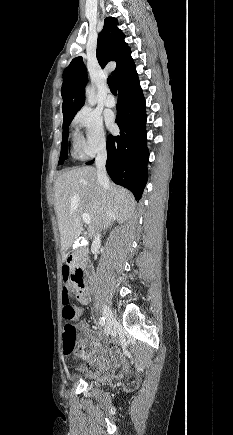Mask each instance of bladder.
Segmentation results:
<instances>
[{"label": "bladder", "instance_id": "1", "mask_svg": "<svg viewBox=\"0 0 233 435\" xmlns=\"http://www.w3.org/2000/svg\"><path fill=\"white\" fill-rule=\"evenodd\" d=\"M115 380V378H112L108 383H112Z\"/></svg>", "mask_w": 233, "mask_h": 435}]
</instances>
